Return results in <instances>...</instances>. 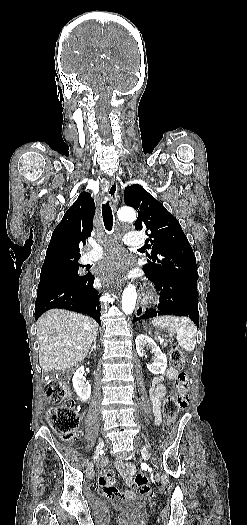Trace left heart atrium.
Segmentation results:
<instances>
[{"label": "left heart atrium", "instance_id": "39dd6f15", "mask_svg": "<svg viewBox=\"0 0 247 525\" xmlns=\"http://www.w3.org/2000/svg\"><path fill=\"white\" fill-rule=\"evenodd\" d=\"M99 261H103V272H94L97 281H113L121 273L127 272V266L133 261V255L125 251L109 250Z\"/></svg>", "mask_w": 247, "mask_h": 525}]
</instances>
